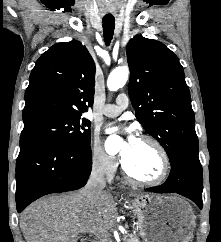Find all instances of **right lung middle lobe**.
Returning <instances> with one entry per match:
<instances>
[{"label": "right lung middle lobe", "mask_w": 221, "mask_h": 242, "mask_svg": "<svg viewBox=\"0 0 221 242\" xmlns=\"http://www.w3.org/2000/svg\"><path fill=\"white\" fill-rule=\"evenodd\" d=\"M31 136H49L68 144L89 146L90 121L81 115L40 120L24 125L21 137Z\"/></svg>", "instance_id": "right-lung-middle-lobe-1"}]
</instances>
